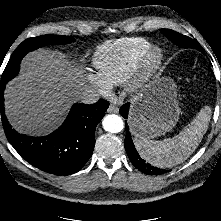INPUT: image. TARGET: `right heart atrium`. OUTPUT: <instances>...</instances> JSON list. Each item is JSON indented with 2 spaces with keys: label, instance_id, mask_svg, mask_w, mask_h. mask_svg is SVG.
I'll use <instances>...</instances> for the list:
<instances>
[{
  "label": "right heart atrium",
  "instance_id": "right-heart-atrium-1",
  "mask_svg": "<svg viewBox=\"0 0 221 221\" xmlns=\"http://www.w3.org/2000/svg\"><path fill=\"white\" fill-rule=\"evenodd\" d=\"M88 81L93 84L96 89L102 94H108L110 92V86L105 83L102 78L95 72L87 73Z\"/></svg>",
  "mask_w": 221,
  "mask_h": 221
}]
</instances>
